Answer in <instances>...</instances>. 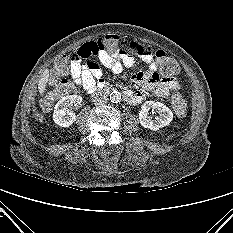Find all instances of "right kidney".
<instances>
[{
    "label": "right kidney",
    "mask_w": 233,
    "mask_h": 233,
    "mask_svg": "<svg viewBox=\"0 0 233 233\" xmlns=\"http://www.w3.org/2000/svg\"><path fill=\"white\" fill-rule=\"evenodd\" d=\"M82 103V97L78 95H69L60 99L54 108L53 120L61 127H69L76 119V115L68 107L74 105L79 107Z\"/></svg>",
    "instance_id": "right-kidney-1"
}]
</instances>
